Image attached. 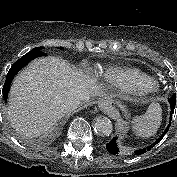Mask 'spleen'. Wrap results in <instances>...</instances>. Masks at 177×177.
<instances>
[{
	"label": "spleen",
	"instance_id": "3e777b00",
	"mask_svg": "<svg viewBox=\"0 0 177 177\" xmlns=\"http://www.w3.org/2000/svg\"><path fill=\"white\" fill-rule=\"evenodd\" d=\"M161 121L162 109L158 103L153 102L149 105L144 115L133 119V131L140 137L149 138L157 133Z\"/></svg>",
	"mask_w": 177,
	"mask_h": 177
}]
</instances>
